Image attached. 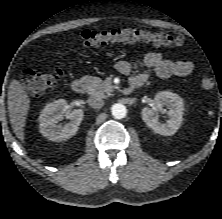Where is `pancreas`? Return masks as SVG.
Wrapping results in <instances>:
<instances>
[{
  "label": "pancreas",
  "instance_id": "1",
  "mask_svg": "<svg viewBox=\"0 0 222 219\" xmlns=\"http://www.w3.org/2000/svg\"><path fill=\"white\" fill-rule=\"evenodd\" d=\"M87 93L92 96L107 98L111 95L112 87L108 86L100 78L94 76H85Z\"/></svg>",
  "mask_w": 222,
  "mask_h": 219
}]
</instances>
